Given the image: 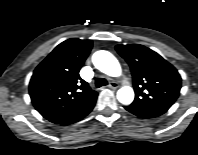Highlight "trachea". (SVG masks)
I'll return each mask as SVG.
<instances>
[{
	"instance_id": "1",
	"label": "trachea",
	"mask_w": 198,
	"mask_h": 155,
	"mask_svg": "<svg viewBox=\"0 0 198 155\" xmlns=\"http://www.w3.org/2000/svg\"><path fill=\"white\" fill-rule=\"evenodd\" d=\"M95 85H96L97 88H100L102 86L108 85V82L105 78H97L95 80Z\"/></svg>"
}]
</instances>
